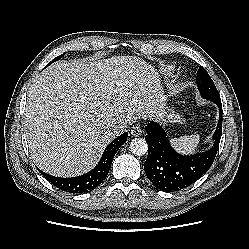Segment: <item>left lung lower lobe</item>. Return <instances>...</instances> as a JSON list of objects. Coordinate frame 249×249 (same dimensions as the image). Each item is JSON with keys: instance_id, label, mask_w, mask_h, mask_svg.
Masks as SVG:
<instances>
[{"instance_id": "obj_1", "label": "left lung lower lobe", "mask_w": 249, "mask_h": 249, "mask_svg": "<svg viewBox=\"0 0 249 249\" xmlns=\"http://www.w3.org/2000/svg\"><path fill=\"white\" fill-rule=\"evenodd\" d=\"M219 107V122L213 135L214 145L206 152L183 156L170 145L165 131L151 121L147 125L145 139L148 155L144 169L152 184L165 192H174L196 182L211 167L217 154L222 134V104Z\"/></svg>"}]
</instances>
